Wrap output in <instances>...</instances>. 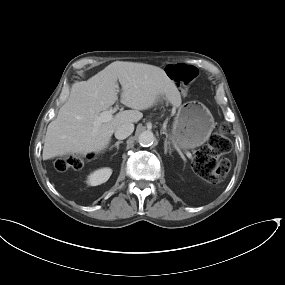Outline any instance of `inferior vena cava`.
Segmentation results:
<instances>
[{"label": "inferior vena cava", "instance_id": "1", "mask_svg": "<svg viewBox=\"0 0 285 285\" xmlns=\"http://www.w3.org/2000/svg\"><path fill=\"white\" fill-rule=\"evenodd\" d=\"M134 131V125L132 123H123L116 127L115 137L119 140L125 139Z\"/></svg>", "mask_w": 285, "mask_h": 285}]
</instances>
